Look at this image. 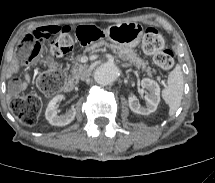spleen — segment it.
<instances>
[{
	"mask_svg": "<svg viewBox=\"0 0 215 183\" xmlns=\"http://www.w3.org/2000/svg\"><path fill=\"white\" fill-rule=\"evenodd\" d=\"M183 90V72L180 66H176L168 76L167 86L162 90V98L169 105L170 115H173L179 108Z\"/></svg>",
	"mask_w": 215,
	"mask_h": 183,
	"instance_id": "3e777b00",
	"label": "spleen"
}]
</instances>
